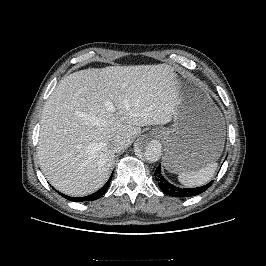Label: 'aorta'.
I'll return each mask as SVG.
<instances>
[{
	"mask_svg": "<svg viewBox=\"0 0 266 266\" xmlns=\"http://www.w3.org/2000/svg\"><path fill=\"white\" fill-rule=\"evenodd\" d=\"M135 151L142 154L147 161L156 162L162 155V144L157 139L145 137L139 140L135 147Z\"/></svg>",
	"mask_w": 266,
	"mask_h": 266,
	"instance_id": "aorta-1",
	"label": "aorta"
}]
</instances>
